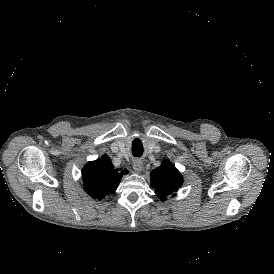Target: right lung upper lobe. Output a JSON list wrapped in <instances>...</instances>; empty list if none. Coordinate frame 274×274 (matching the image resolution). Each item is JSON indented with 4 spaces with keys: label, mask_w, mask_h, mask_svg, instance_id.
<instances>
[{
    "label": "right lung upper lobe",
    "mask_w": 274,
    "mask_h": 274,
    "mask_svg": "<svg viewBox=\"0 0 274 274\" xmlns=\"http://www.w3.org/2000/svg\"><path fill=\"white\" fill-rule=\"evenodd\" d=\"M126 169H115L110 158L103 155L100 159L88 162L83 170L85 191L94 199L102 200L114 193Z\"/></svg>",
    "instance_id": "1"
}]
</instances>
